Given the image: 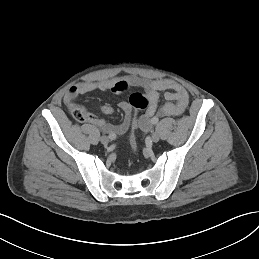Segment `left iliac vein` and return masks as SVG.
Returning a JSON list of instances; mask_svg holds the SVG:
<instances>
[{
	"mask_svg": "<svg viewBox=\"0 0 259 259\" xmlns=\"http://www.w3.org/2000/svg\"><path fill=\"white\" fill-rule=\"evenodd\" d=\"M151 139H152L153 142H158L159 139H160V136H159L158 133L155 132V133L152 134Z\"/></svg>",
	"mask_w": 259,
	"mask_h": 259,
	"instance_id": "obj_1",
	"label": "left iliac vein"
}]
</instances>
